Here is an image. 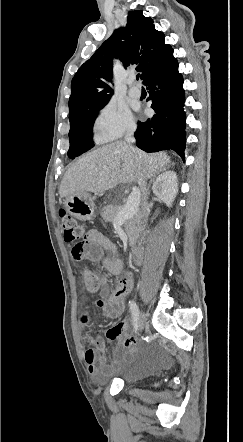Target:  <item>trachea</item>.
<instances>
[{"label":"trachea","instance_id":"obj_1","mask_svg":"<svg viewBox=\"0 0 243 442\" xmlns=\"http://www.w3.org/2000/svg\"><path fill=\"white\" fill-rule=\"evenodd\" d=\"M136 79H137V80L139 79V76H138V75L136 76Z\"/></svg>","mask_w":243,"mask_h":442}]
</instances>
